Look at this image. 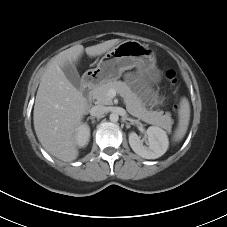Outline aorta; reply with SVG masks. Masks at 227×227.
I'll return each instance as SVG.
<instances>
[{
    "label": "aorta",
    "instance_id": "obj_1",
    "mask_svg": "<svg viewBox=\"0 0 227 227\" xmlns=\"http://www.w3.org/2000/svg\"><path fill=\"white\" fill-rule=\"evenodd\" d=\"M109 119L111 122L115 123L118 121L119 115L117 113H111L109 116Z\"/></svg>",
    "mask_w": 227,
    "mask_h": 227
}]
</instances>
